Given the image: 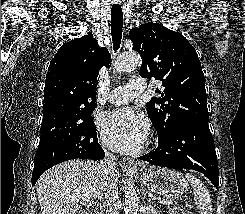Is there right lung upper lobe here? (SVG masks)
Listing matches in <instances>:
<instances>
[{
  "label": "right lung upper lobe",
  "instance_id": "1",
  "mask_svg": "<svg viewBox=\"0 0 245 214\" xmlns=\"http://www.w3.org/2000/svg\"><path fill=\"white\" fill-rule=\"evenodd\" d=\"M111 56L91 32L65 43L46 74L41 131L76 121L95 108L99 70Z\"/></svg>",
  "mask_w": 245,
  "mask_h": 214
}]
</instances>
